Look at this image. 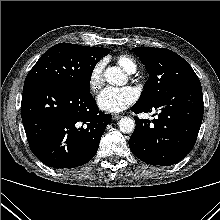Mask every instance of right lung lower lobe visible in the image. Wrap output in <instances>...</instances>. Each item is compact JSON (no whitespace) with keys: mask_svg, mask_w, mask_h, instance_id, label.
<instances>
[{"mask_svg":"<svg viewBox=\"0 0 220 220\" xmlns=\"http://www.w3.org/2000/svg\"><path fill=\"white\" fill-rule=\"evenodd\" d=\"M21 116L33 154L53 168H75L96 154L111 115L97 109L89 89L67 84L24 85Z\"/></svg>","mask_w":220,"mask_h":220,"instance_id":"98d812e1","label":"right lung lower lobe"}]
</instances>
